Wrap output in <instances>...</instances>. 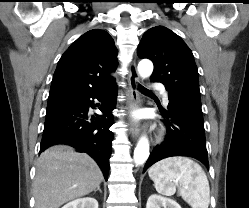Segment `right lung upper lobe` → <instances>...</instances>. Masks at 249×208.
<instances>
[{"label":"right lung upper lobe","instance_id":"cb5924a9","mask_svg":"<svg viewBox=\"0 0 249 208\" xmlns=\"http://www.w3.org/2000/svg\"><path fill=\"white\" fill-rule=\"evenodd\" d=\"M117 49L104 30L79 37L62 55L54 72L48 102L90 94L114 82Z\"/></svg>","mask_w":249,"mask_h":208}]
</instances>
